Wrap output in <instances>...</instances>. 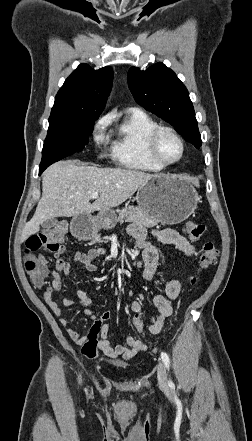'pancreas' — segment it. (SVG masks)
<instances>
[{
    "mask_svg": "<svg viewBox=\"0 0 252 441\" xmlns=\"http://www.w3.org/2000/svg\"><path fill=\"white\" fill-rule=\"evenodd\" d=\"M124 221L141 224L147 228H152L154 226H157L160 222L154 218L145 215L141 209L134 206H129L118 212V217L116 218V222L123 223ZM113 227L114 224H112L109 228H113ZM94 239L96 241L100 240V235H96Z\"/></svg>",
    "mask_w": 252,
    "mask_h": 441,
    "instance_id": "1",
    "label": "pancreas"
}]
</instances>
